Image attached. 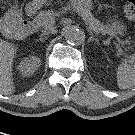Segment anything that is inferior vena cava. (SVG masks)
Returning a JSON list of instances; mask_svg holds the SVG:
<instances>
[{
    "label": "inferior vena cava",
    "instance_id": "inferior-vena-cava-1",
    "mask_svg": "<svg viewBox=\"0 0 135 135\" xmlns=\"http://www.w3.org/2000/svg\"><path fill=\"white\" fill-rule=\"evenodd\" d=\"M53 33H56V30H51L50 32H44L43 34H41V36H45V35H48V34H53Z\"/></svg>",
    "mask_w": 135,
    "mask_h": 135
}]
</instances>
